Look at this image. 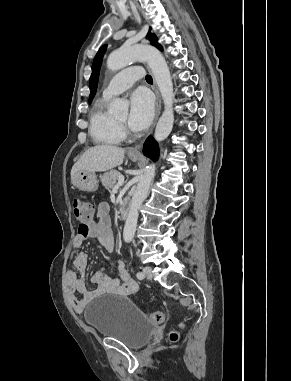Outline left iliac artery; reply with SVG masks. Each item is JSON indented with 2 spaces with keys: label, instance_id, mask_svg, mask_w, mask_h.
Here are the masks:
<instances>
[{
  "label": "left iliac artery",
  "instance_id": "1",
  "mask_svg": "<svg viewBox=\"0 0 291 381\" xmlns=\"http://www.w3.org/2000/svg\"><path fill=\"white\" fill-rule=\"evenodd\" d=\"M136 277L138 279H143L144 278V274L141 271H139V272H137Z\"/></svg>",
  "mask_w": 291,
  "mask_h": 381
}]
</instances>
